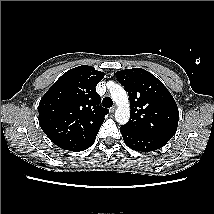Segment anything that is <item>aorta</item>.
Listing matches in <instances>:
<instances>
[{
    "label": "aorta",
    "mask_w": 214,
    "mask_h": 214,
    "mask_svg": "<svg viewBox=\"0 0 214 214\" xmlns=\"http://www.w3.org/2000/svg\"><path fill=\"white\" fill-rule=\"evenodd\" d=\"M110 94L111 99L116 103L117 109L115 111V120L120 124L124 125L130 118V106L128 101V95L125 89L113 82H110Z\"/></svg>",
    "instance_id": "obj_1"
}]
</instances>
